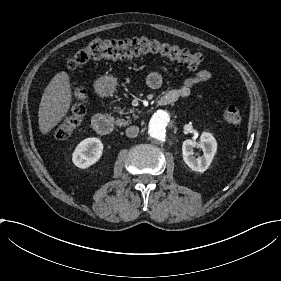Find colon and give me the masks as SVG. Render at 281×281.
Masks as SVG:
<instances>
[{"label": "colon", "mask_w": 281, "mask_h": 281, "mask_svg": "<svg viewBox=\"0 0 281 281\" xmlns=\"http://www.w3.org/2000/svg\"><path fill=\"white\" fill-rule=\"evenodd\" d=\"M146 54L185 62L198 69L203 68L205 65V61L200 54L157 40L134 38L117 41H93L77 51L66 63V73L73 91V101L71 109L67 112L63 121L53 129L52 135L56 139L69 137L79 125L83 115L86 88L76 76V70L79 66L108 58H122ZM222 118L226 123L234 126H238L242 122L240 112L232 104L225 105L222 108Z\"/></svg>", "instance_id": "obj_1"}]
</instances>
